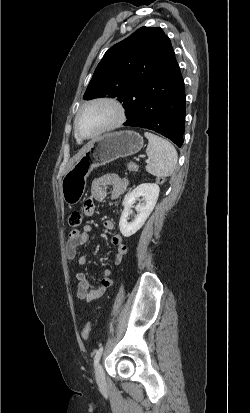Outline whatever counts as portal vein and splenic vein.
I'll return each instance as SVG.
<instances>
[{"mask_svg":"<svg viewBox=\"0 0 250 413\" xmlns=\"http://www.w3.org/2000/svg\"><path fill=\"white\" fill-rule=\"evenodd\" d=\"M136 160H139V159L137 158ZM146 162H147V163H149V159H148V160H146Z\"/></svg>","mask_w":250,"mask_h":413,"instance_id":"1","label":"portal vein and splenic vein"}]
</instances>
